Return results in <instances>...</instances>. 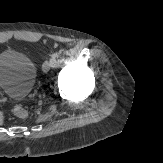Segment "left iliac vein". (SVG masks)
Wrapping results in <instances>:
<instances>
[{
    "instance_id": "4c4485c4",
    "label": "left iliac vein",
    "mask_w": 163,
    "mask_h": 163,
    "mask_svg": "<svg viewBox=\"0 0 163 163\" xmlns=\"http://www.w3.org/2000/svg\"><path fill=\"white\" fill-rule=\"evenodd\" d=\"M51 66H53V60L52 59L46 60L43 63L42 69L44 72H48L50 70Z\"/></svg>"
}]
</instances>
